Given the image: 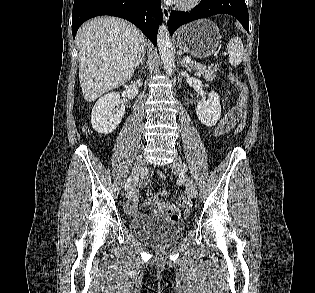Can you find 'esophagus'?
<instances>
[{
    "label": "esophagus",
    "instance_id": "obj_1",
    "mask_svg": "<svg viewBox=\"0 0 315 293\" xmlns=\"http://www.w3.org/2000/svg\"><path fill=\"white\" fill-rule=\"evenodd\" d=\"M163 18L167 22L170 16V10L166 5H162Z\"/></svg>",
    "mask_w": 315,
    "mask_h": 293
}]
</instances>
